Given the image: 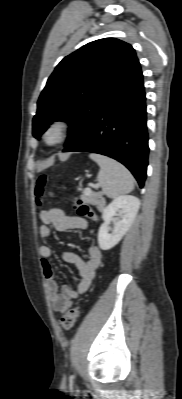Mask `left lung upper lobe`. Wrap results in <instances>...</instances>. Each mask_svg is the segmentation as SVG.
I'll return each instance as SVG.
<instances>
[{"label": "left lung upper lobe", "mask_w": 182, "mask_h": 399, "mask_svg": "<svg viewBox=\"0 0 182 399\" xmlns=\"http://www.w3.org/2000/svg\"><path fill=\"white\" fill-rule=\"evenodd\" d=\"M141 71L135 50L115 38L90 42L66 56L43 89L33 118V136L39 138L57 120L68 122L75 141L107 101Z\"/></svg>", "instance_id": "5c2ea615"}]
</instances>
